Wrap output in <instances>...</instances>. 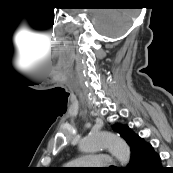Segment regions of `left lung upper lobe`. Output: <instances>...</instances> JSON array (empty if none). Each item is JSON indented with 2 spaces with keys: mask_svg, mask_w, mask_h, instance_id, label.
<instances>
[{
  "mask_svg": "<svg viewBox=\"0 0 173 173\" xmlns=\"http://www.w3.org/2000/svg\"><path fill=\"white\" fill-rule=\"evenodd\" d=\"M113 128L125 139L127 144L130 146L132 138L135 136V133L131 131L128 126L125 125H114Z\"/></svg>",
  "mask_w": 173,
  "mask_h": 173,
  "instance_id": "obj_1",
  "label": "left lung upper lobe"
}]
</instances>
